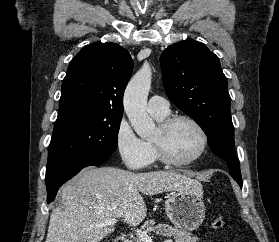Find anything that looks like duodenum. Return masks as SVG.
<instances>
[{
	"label": "duodenum",
	"mask_w": 279,
	"mask_h": 242,
	"mask_svg": "<svg viewBox=\"0 0 279 242\" xmlns=\"http://www.w3.org/2000/svg\"><path fill=\"white\" fill-rule=\"evenodd\" d=\"M114 242H128L124 237H118L114 240Z\"/></svg>",
	"instance_id": "obj_1"
}]
</instances>
